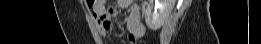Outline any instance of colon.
I'll return each mask as SVG.
<instances>
[{"label": "colon", "mask_w": 261, "mask_h": 44, "mask_svg": "<svg viewBox=\"0 0 261 44\" xmlns=\"http://www.w3.org/2000/svg\"><path fill=\"white\" fill-rule=\"evenodd\" d=\"M104 1H88V6H97V4H103Z\"/></svg>", "instance_id": "5ec220e1"}]
</instances>
